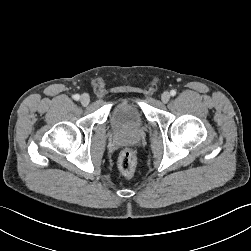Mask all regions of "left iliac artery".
Instances as JSON below:
<instances>
[{
    "label": "left iliac artery",
    "instance_id": "obj_1",
    "mask_svg": "<svg viewBox=\"0 0 251 251\" xmlns=\"http://www.w3.org/2000/svg\"><path fill=\"white\" fill-rule=\"evenodd\" d=\"M170 94H171V96H175L176 95V91L175 90H171Z\"/></svg>",
    "mask_w": 251,
    "mask_h": 251
}]
</instances>
